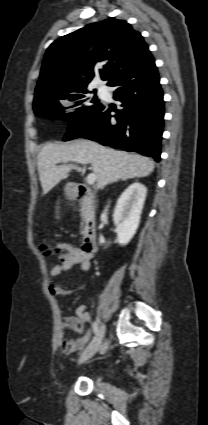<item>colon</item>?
I'll use <instances>...</instances> for the list:
<instances>
[{"mask_svg": "<svg viewBox=\"0 0 208 425\" xmlns=\"http://www.w3.org/2000/svg\"><path fill=\"white\" fill-rule=\"evenodd\" d=\"M39 249L42 252V254L44 256H47V257H52V256H54V255H56L58 253V249L57 248H55L52 245L47 244V243L41 244L40 247H39Z\"/></svg>", "mask_w": 208, "mask_h": 425, "instance_id": "obj_1", "label": "colon"}]
</instances>
